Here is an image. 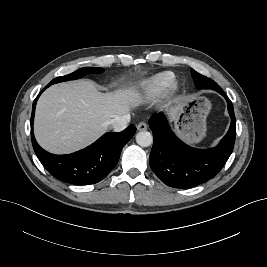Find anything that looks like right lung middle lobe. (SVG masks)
<instances>
[{
	"instance_id": "dd1d6c3e",
	"label": "right lung middle lobe",
	"mask_w": 267,
	"mask_h": 267,
	"mask_svg": "<svg viewBox=\"0 0 267 267\" xmlns=\"http://www.w3.org/2000/svg\"><path fill=\"white\" fill-rule=\"evenodd\" d=\"M103 71H104L103 68H98V67L80 68V69H78L77 71H75V72H73L71 74H68V75H65V76H60V77H57V78L53 79L48 85L50 86L52 84L63 82V81L75 80V79L83 77L86 74L101 73Z\"/></svg>"
}]
</instances>
